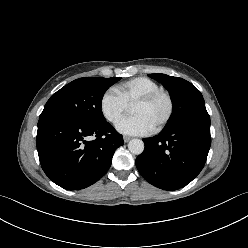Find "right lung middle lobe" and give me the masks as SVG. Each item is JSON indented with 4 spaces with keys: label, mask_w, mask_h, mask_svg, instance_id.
I'll use <instances>...</instances> for the list:
<instances>
[{
    "label": "right lung middle lobe",
    "mask_w": 248,
    "mask_h": 248,
    "mask_svg": "<svg viewBox=\"0 0 248 248\" xmlns=\"http://www.w3.org/2000/svg\"><path fill=\"white\" fill-rule=\"evenodd\" d=\"M120 77L76 79L54 93L45 104L40 118L66 115L89 123L106 122L101 102L106 90Z\"/></svg>",
    "instance_id": "right-lung-middle-lobe-1"
}]
</instances>
